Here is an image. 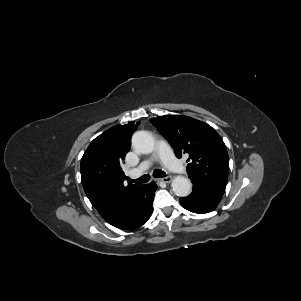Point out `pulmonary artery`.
<instances>
[{
    "mask_svg": "<svg viewBox=\"0 0 301 301\" xmlns=\"http://www.w3.org/2000/svg\"><path fill=\"white\" fill-rule=\"evenodd\" d=\"M155 159H160L162 163L171 171L176 173H185L184 166L175 158L169 146L164 142H158L155 154L144 160L137 168L130 172L131 177H137L146 171Z\"/></svg>",
    "mask_w": 301,
    "mask_h": 301,
    "instance_id": "pulmonary-artery-1",
    "label": "pulmonary artery"
}]
</instances>
